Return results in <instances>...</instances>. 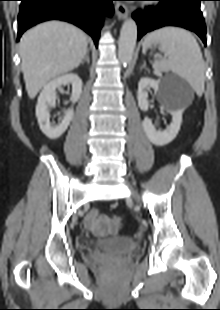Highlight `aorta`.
Segmentation results:
<instances>
[{
	"instance_id": "1",
	"label": "aorta",
	"mask_w": 220,
	"mask_h": 310,
	"mask_svg": "<svg viewBox=\"0 0 220 310\" xmlns=\"http://www.w3.org/2000/svg\"><path fill=\"white\" fill-rule=\"evenodd\" d=\"M137 39V25L133 19H127L121 28L118 58L123 65H128L133 58Z\"/></svg>"
}]
</instances>
